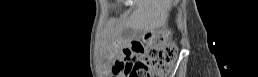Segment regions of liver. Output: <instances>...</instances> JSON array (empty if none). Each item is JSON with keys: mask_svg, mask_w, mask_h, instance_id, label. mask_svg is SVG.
Segmentation results:
<instances>
[{"mask_svg": "<svg viewBox=\"0 0 258 77\" xmlns=\"http://www.w3.org/2000/svg\"><path fill=\"white\" fill-rule=\"evenodd\" d=\"M134 11L130 24L145 29L156 28L163 24L171 6V0H134Z\"/></svg>", "mask_w": 258, "mask_h": 77, "instance_id": "obj_1", "label": "liver"}]
</instances>
